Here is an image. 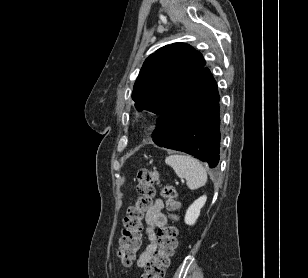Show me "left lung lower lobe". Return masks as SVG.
<instances>
[{"label": "left lung lower lobe", "instance_id": "1", "mask_svg": "<svg viewBox=\"0 0 308 278\" xmlns=\"http://www.w3.org/2000/svg\"><path fill=\"white\" fill-rule=\"evenodd\" d=\"M153 132L158 146L219 162L220 118L217 84L210 70L196 74L161 112Z\"/></svg>", "mask_w": 308, "mask_h": 278}]
</instances>
